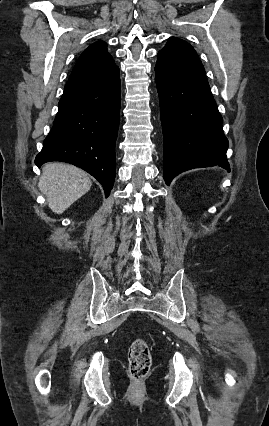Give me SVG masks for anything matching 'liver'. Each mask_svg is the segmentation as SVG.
<instances>
[{"label": "liver", "mask_w": 269, "mask_h": 426, "mask_svg": "<svg viewBox=\"0 0 269 426\" xmlns=\"http://www.w3.org/2000/svg\"><path fill=\"white\" fill-rule=\"evenodd\" d=\"M88 174L70 164L47 163L42 168L38 187L50 209L62 214L91 188Z\"/></svg>", "instance_id": "6515ba94"}]
</instances>
